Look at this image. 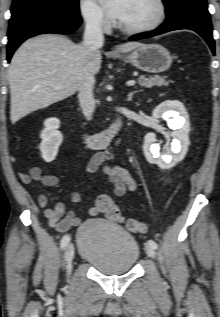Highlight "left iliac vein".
I'll return each instance as SVG.
<instances>
[{"instance_id": "left-iliac-vein-1", "label": "left iliac vein", "mask_w": 220, "mask_h": 317, "mask_svg": "<svg viewBox=\"0 0 220 317\" xmlns=\"http://www.w3.org/2000/svg\"><path fill=\"white\" fill-rule=\"evenodd\" d=\"M145 252L151 258H155L156 256L155 249L152 246H150L148 243L145 244Z\"/></svg>"}]
</instances>
